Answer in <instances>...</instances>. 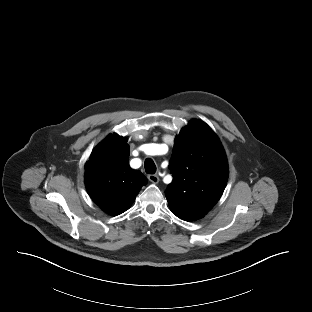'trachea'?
I'll return each mask as SVG.
<instances>
[{"label":"trachea","instance_id":"trachea-1","mask_svg":"<svg viewBox=\"0 0 312 312\" xmlns=\"http://www.w3.org/2000/svg\"><path fill=\"white\" fill-rule=\"evenodd\" d=\"M145 171L148 174H154L156 172V165L154 163V161L151 158H147L145 160Z\"/></svg>","mask_w":312,"mask_h":312}]
</instances>
